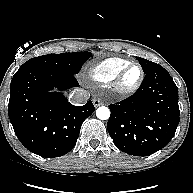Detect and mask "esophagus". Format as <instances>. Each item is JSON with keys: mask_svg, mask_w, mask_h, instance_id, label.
Instances as JSON below:
<instances>
[{"mask_svg": "<svg viewBox=\"0 0 193 193\" xmlns=\"http://www.w3.org/2000/svg\"><path fill=\"white\" fill-rule=\"evenodd\" d=\"M103 104H104V103H103L102 100H100V99H93V105H94V107H98V106L103 105Z\"/></svg>", "mask_w": 193, "mask_h": 193, "instance_id": "obj_1", "label": "esophagus"}]
</instances>
